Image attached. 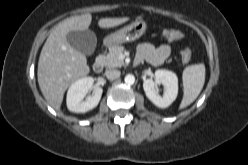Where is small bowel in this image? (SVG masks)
<instances>
[{
    "label": "small bowel",
    "instance_id": "obj_1",
    "mask_svg": "<svg viewBox=\"0 0 248 165\" xmlns=\"http://www.w3.org/2000/svg\"><path fill=\"white\" fill-rule=\"evenodd\" d=\"M171 54V47L168 44H163L158 47L151 43H142L138 47V57L147 61L153 66L162 64Z\"/></svg>",
    "mask_w": 248,
    "mask_h": 165
}]
</instances>
